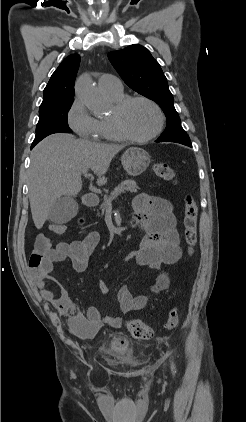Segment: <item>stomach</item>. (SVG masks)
Wrapping results in <instances>:
<instances>
[{"mask_svg":"<svg viewBox=\"0 0 246 422\" xmlns=\"http://www.w3.org/2000/svg\"><path fill=\"white\" fill-rule=\"evenodd\" d=\"M121 162L129 175L138 176L149 166L150 156L142 148L130 147L123 153Z\"/></svg>","mask_w":246,"mask_h":422,"instance_id":"stomach-1","label":"stomach"}]
</instances>
